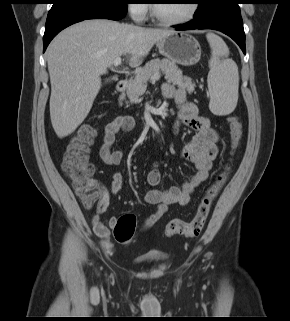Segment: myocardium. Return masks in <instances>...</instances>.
<instances>
[{"label":"myocardium","mask_w":290,"mask_h":321,"mask_svg":"<svg viewBox=\"0 0 290 321\" xmlns=\"http://www.w3.org/2000/svg\"><path fill=\"white\" fill-rule=\"evenodd\" d=\"M198 7H199V5L196 2V0H193V1H191V9L185 17L180 18V19H175V20H169V19H164L158 15L157 10H156V5L154 2V3H151V5H150V14H151L152 19L159 25L168 26V27L178 26V25L186 24L189 21H191L195 17V15L197 14Z\"/></svg>","instance_id":"obj_1"}]
</instances>
